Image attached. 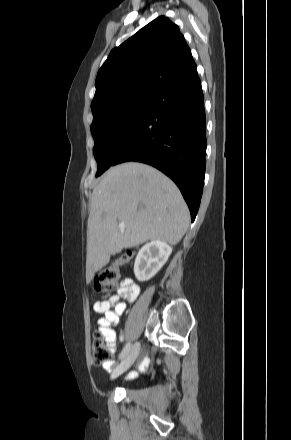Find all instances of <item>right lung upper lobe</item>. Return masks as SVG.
Here are the masks:
<instances>
[{
    "label": "right lung upper lobe",
    "mask_w": 291,
    "mask_h": 440,
    "mask_svg": "<svg viewBox=\"0 0 291 440\" xmlns=\"http://www.w3.org/2000/svg\"><path fill=\"white\" fill-rule=\"evenodd\" d=\"M195 69L179 27L160 16L110 52L98 71L91 109L139 96L155 97Z\"/></svg>",
    "instance_id": "1"
}]
</instances>
